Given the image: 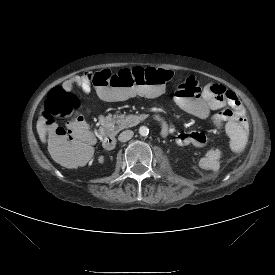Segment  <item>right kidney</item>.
Returning <instances> with one entry per match:
<instances>
[{"label": "right kidney", "instance_id": "obj_1", "mask_svg": "<svg viewBox=\"0 0 275 275\" xmlns=\"http://www.w3.org/2000/svg\"><path fill=\"white\" fill-rule=\"evenodd\" d=\"M98 163H99L100 165H105V164L107 163V158H106L105 156H100V157L98 158Z\"/></svg>", "mask_w": 275, "mask_h": 275}]
</instances>
